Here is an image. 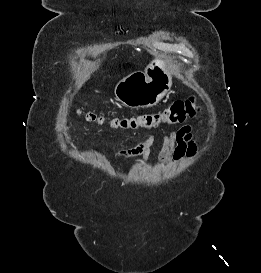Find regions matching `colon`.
Masks as SVG:
<instances>
[{"label":"colon","mask_w":261,"mask_h":273,"mask_svg":"<svg viewBox=\"0 0 261 273\" xmlns=\"http://www.w3.org/2000/svg\"><path fill=\"white\" fill-rule=\"evenodd\" d=\"M199 108L194 98L175 101L166 109L140 116L120 117L111 121V125L121 129L154 128L162 124H178L194 117ZM86 119L102 122V118L94 113H86Z\"/></svg>","instance_id":"obj_1"}]
</instances>
